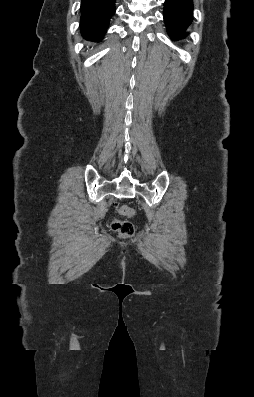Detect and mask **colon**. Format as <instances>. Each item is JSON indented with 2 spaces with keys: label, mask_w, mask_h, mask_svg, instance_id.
Here are the masks:
<instances>
[{
  "label": "colon",
  "mask_w": 254,
  "mask_h": 397,
  "mask_svg": "<svg viewBox=\"0 0 254 397\" xmlns=\"http://www.w3.org/2000/svg\"><path fill=\"white\" fill-rule=\"evenodd\" d=\"M117 213L122 217H131L134 210L128 205H118ZM112 230L121 238H130L134 235V226L128 220L115 218L111 223Z\"/></svg>",
  "instance_id": "1"
}]
</instances>
